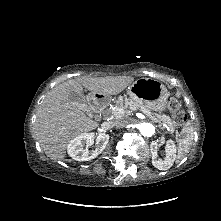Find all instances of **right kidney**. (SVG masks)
<instances>
[{
  "label": "right kidney",
  "instance_id": "obj_1",
  "mask_svg": "<svg viewBox=\"0 0 221 221\" xmlns=\"http://www.w3.org/2000/svg\"><path fill=\"white\" fill-rule=\"evenodd\" d=\"M94 140H96L95 150L89 151L87 148H84L85 145L88 147L93 144ZM108 142L109 135L107 134L95 137L91 133H82L69 142L67 151L74 160L89 161L96 158L106 148Z\"/></svg>",
  "mask_w": 221,
  "mask_h": 221
}]
</instances>
